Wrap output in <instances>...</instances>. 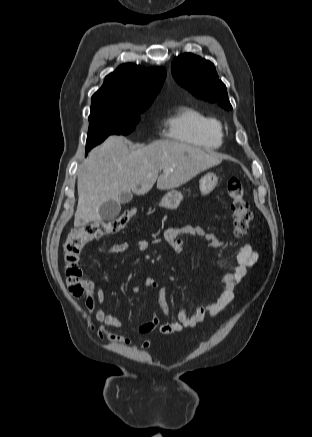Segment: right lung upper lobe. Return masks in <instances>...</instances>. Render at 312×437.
<instances>
[{
  "label": "right lung upper lobe",
  "instance_id": "cb5924a9",
  "mask_svg": "<svg viewBox=\"0 0 312 437\" xmlns=\"http://www.w3.org/2000/svg\"><path fill=\"white\" fill-rule=\"evenodd\" d=\"M166 77L164 68L123 64L105 78L92 96L91 112L139 114L154 101Z\"/></svg>",
  "mask_w": 312,
  "mask_h": 437
}]
</instances>
